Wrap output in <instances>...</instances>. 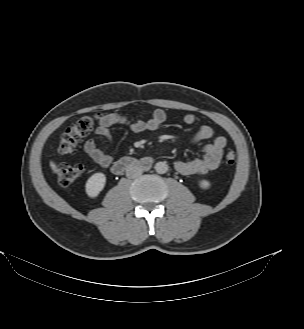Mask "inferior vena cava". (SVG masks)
<instances>
[{
	"instance_id": "obj_1",
	"label": "inferior vena cava",
	"mask_w": 304,
	"mask_h": 329,
	"mask_svg": "<svg viewBox=\"0 0 304 329\" xmlns=\"http://www.w3.org/2000/svg\"><path fill=\"white\" fill-rule=\"evenodd\" d=\"M143 169L137 165H131L126 170V176L128 178H135L142 174Z\"/></svg>"
}]
</instances>
